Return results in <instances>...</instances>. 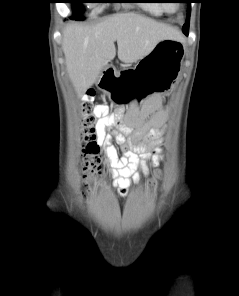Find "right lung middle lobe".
Segmentation results:
<instances>
[{
  "label": "right lung middle lobe",
  "instance_id": "dd1d6c3e",
  "mask_svg": "<svg viewBox=\"0 0 239 296\" xmlns=\"http://www.w3.org/2000/svg\"><path fill=\"white\" fill-rule=\"evenodd\" d=\"M66 2L69 3H108V2H112L110 0H68ZM82 10L78 9V7H76V13H81ZM71 19H76V20H82V18L78 17V16H73L71 17Z\"/></svg>",
  "mask_w": 239,
  "mask_h": 296
}]
</instances>
